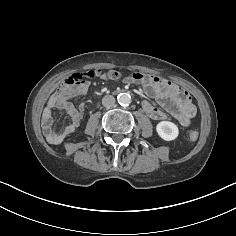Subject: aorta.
<instances>
[{
  "mask_svg": "<svg viewBox=\"0 0 236 236\" xmlns=\"http://www.w3.org/2000/svg\"><path fill=\"white\" fill-rule=\"evenodd\" d=\"M117 101L121 106H128L131 103L132 99H131L130 94L120 93L117 96Z\"/></svg>",
  "mask_w": 236,
  "mask_h": 236,
  "instance_id": "obj_1",
  "label": "aorta"
}]
</instances>
